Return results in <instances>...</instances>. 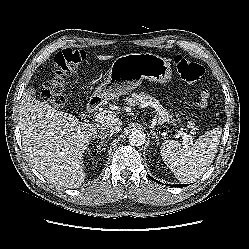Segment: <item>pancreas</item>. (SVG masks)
<instances>
[{
    "label": "pancreas",
    "mask_w": 249,
    "mask_h": 249,
    "mask_svg": "<svg viewBox=\"0 0 249 249\" xmlns=\"http://www.w3.org/2000/svg\"><path fill=\"white\" fill-rule=\"evenodd\" d=\"M131 106L135 105H147L152 106L155 105V109L158 114V122L160 124H163L164 122L170 123L171 116L169 115L168 111L159 103L158 100H156L154 97H151L150 95L141 92L139 94L133 93L131 95V98L126 100Z\"/></svg>",
    "instance_id": "pancreas-1"
}]
</instances>
